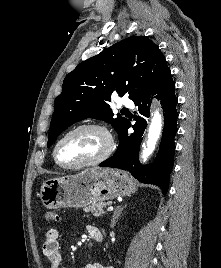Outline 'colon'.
I'll list each match as a JSON object with an SVG mask.
<instances>
[{
    "instance_id": "1",
    "label": "colon",
    "mask_w": 221,
    "mask_h": 268,
    "mask_svg": "<svg viewBox=\"0 0 221 268\" xmlns=\"http://www.w3.org/2000/svg\"><path fill=\"white\" fill-rule=\"evenodd\" d=\"M45 221L49 224L54 223L58 220V216L54 211H48L45 213Z\"/></svg>"
}]
</instances>
